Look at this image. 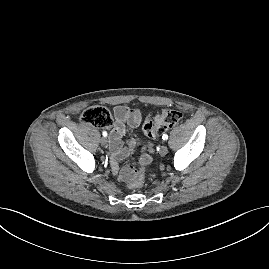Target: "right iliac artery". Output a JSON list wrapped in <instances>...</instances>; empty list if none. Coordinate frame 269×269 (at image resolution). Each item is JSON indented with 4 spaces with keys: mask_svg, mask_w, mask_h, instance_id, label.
<instances>
[{
    "mask_svg": "<svg viewBox=\"0 0 269 269\" xmlns=\"http://www.w3.org/2000/svg\"><path fill=\"white\" fill-rule=\"evenodd\" d=\"M103 136L106 137L107 136V132L106 131H103Z\"/></svg>",
    "mask_w": 269,
    "mask_h": 269,
    "instance_id": "right-iliac-artery-1",
    "label": "right iliac artery"
}]
</instances>
